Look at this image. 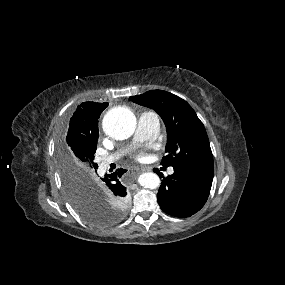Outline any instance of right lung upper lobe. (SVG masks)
I'll return each mask as SVG.
<instances>
[{
  "label": "right lung upper lobe",
  "mask_w": 285,
  "mask_h": 285,
  "mask_svg": "<svg viewBox=\"0 0 285 285\" xmlns=\"http://www.w3.org/2000/svg\"><path fill=\"white\" fill-rule=\"evenodd\" d=\"M108 103H81L70 119L65 142L70 150L97 144L98 118Z\"/></svg>",
  "instance_id": "obj_1"
}]
</instances>
